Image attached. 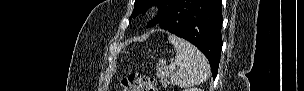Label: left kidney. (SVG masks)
<instances>
[{"label":"left kidney","mask_w":304,"mask_h":91,"mask_svg":"<svg viewBox=\"0 0 304 91\" xmlns=\"http://www.w3.org/2000/svg\"><path fill=\"white\" fill-rule=\"evenodd\" d=\"M185 91H202V90L198 88H191V89H185Z\"/></svg>","instance_id":"left-kidney-1"}]
</instances>
